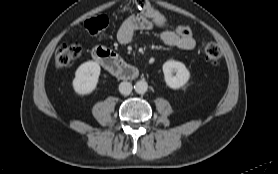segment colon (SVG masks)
<instances>
[{
  "label": "colon",
  "instance_id": "1",
  "mask_svg": "<svg viewBox=\"0 0 278 174\" xmlns=\"http://www.w3.org/2000/svg\"><path fill=\"white\" fill-rule=\"evenodd\" d=\"M138 8L150 18L155 25L173 31L180 37L188 38L193 37V32L190 26L180 24L173 26L168 19L155 10L147 0H135ZM85 28L90 33H98L108 25V18L105 15L90 18L85 22ZM81 47L79 44H61L55 53L54 62L57 68L64 69L69 66L73 61L79 58L81 54ZM222 56L220 46L215 42H208L204 47V57L211 64H217Z\"/></svg>",
  "mask_w": 278,
  "mask_h": 174
}]
</instances>
